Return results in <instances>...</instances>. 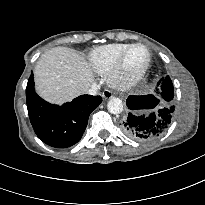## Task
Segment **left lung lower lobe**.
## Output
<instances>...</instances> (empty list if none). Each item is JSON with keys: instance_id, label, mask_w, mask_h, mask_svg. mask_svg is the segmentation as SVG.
Segmentation results:
<instances>
[{"instance_id": "obj_1", "label": "left lung lower lobe", "mask_w": 205, "mask_h": 205, "mask_svg": "<svg viewBox=\"0 0 205 205\" xmlns=\"http://www.w3.org/2000/svg\"><path fill=\"white\" fill-rule=\"evenodd\" d=\"M126 103L130 111L121 126L124 133L134 140L153 141L171 124L174 106L161 93L129 96Z\"/></svg>"}]
</instances>
